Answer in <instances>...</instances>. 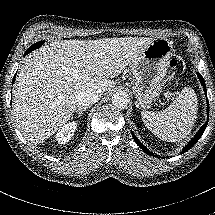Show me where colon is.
Returning <instances> with one entry per match:
<instances>
[{
  "instance_id": "5ec220e1",
  "label": "colon",
  "mask_w": 215,
  "mask_h": 215,
  "mask_svg": "<svg viewBox=\"0 0 215 215\" xmlns=\"http://www.w3.org/2000/svg\"><path fill=\"white\" fill-rule=\"evenodd\" d=\"M178 64V59L176 57H173L171 59V66H176Z\"/></svg>"
}]
</instances>
